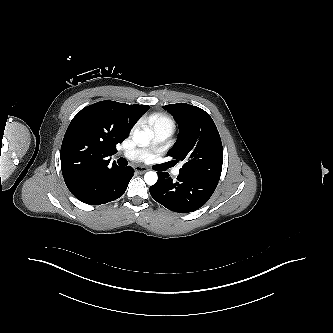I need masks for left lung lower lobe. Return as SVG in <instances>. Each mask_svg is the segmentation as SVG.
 <instances>
[{"label": "left lung lower lobe", "instance_id": "0a47b994", "mask_svg": "<svg viewBox=\"0 0 333 333\" xmlns=\"http://www.w3.org/2000/svg\"><path fill=\"white\" fill-rule=\"evenodd\" d=\"M158 182L150 187L155 201L167 209L178 212H193L202 207L214 193L218 181L180 174L176 181L168 173L158 172Z\"/></svg>", "mask_w": 333, "mask_h": 333}]
</instances>
